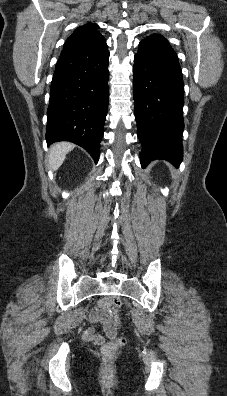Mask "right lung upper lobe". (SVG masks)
Segmentation results:
<instances>
[{
  "instance_id": "1",
  "label": "right lung upper lobe",
  "mask_w": 227,
  "mask_h": 396,
  "mask_svg": "<svg viewBox=\"0 0 227 396\" xmlns=\"http://www.w3.org/2000/svg\"><path fill=\"white\" fill-rule=\"evenodd\" d=\"M98 25L88 23L78 27L66 40L64 49L80 48L87 45H94L102 42L104 37L98 31Z\"/></svg>"
}]
</instances>
